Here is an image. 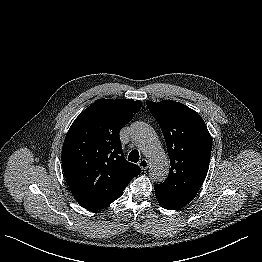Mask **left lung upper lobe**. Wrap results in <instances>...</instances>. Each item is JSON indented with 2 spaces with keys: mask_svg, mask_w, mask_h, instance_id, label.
Masks as SVG:
<instances>
[{
  "mask_svg": "<svg viewBox=\"0 0 262 262\" xmlns=\"http://www.w3.org/2000/svg\"><path fill=\"white\" fill-rule=\"evenodd\" d=\"M146 104L162 129L171 165L167 179L157 186L193 200L209 168L212 138L207 126L196 111L179 102Z\"/></svg>",
  "mask_w": 262,
  "mask_h": 262,
  "instance_id": "obj_1",
  "label": "left lung upper lobe"
}]
</instances>
